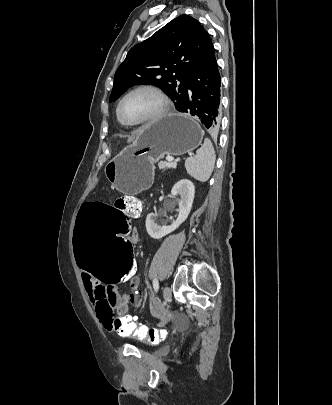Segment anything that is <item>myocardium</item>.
I'll use <instances>...</instances> for the list:
<instances>
[{
	"label": "myocardium",
	"instance_id": "obj_1",
	"mask_svg": "<svg viewBox=\"0 0 332 405\" xmlns=\"http://www.w3.org/2000/svg\"><path fill=\"white\" fill-rule=\"evenodd\" d=\"M141 90H147V91L154 93L157 96V98L159 99L160 106L153 115H151L145 119H142L139 121H134V122L128 121L122 115V104L129 95H131L134 92L141 91ZM169 109H170L169 100H168L166 94L159 87L152 85V84H141V85H138V86L132 88L131 90H129L122 96V98L118 102L116 113H117L119 120L122 123H124L125 125L140 126V125H145V124L153 123V122L160 120L168 113Z\"/></svg>",
	"mask_w": 332,
	"mask_h": 405
}]
</instances>
